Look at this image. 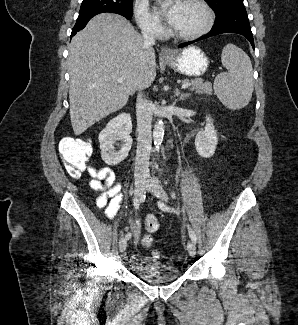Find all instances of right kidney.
Instances as JSON below:
<instances>
[{
    "label": "right kidney",
    "instance_id": "right-kidney-1",
    "mask_svg": "<svg viewBox=\"0 0 298 325\" xmlns=\"http://www.w3.org/2000/svg\"><path fill=\"white\" fill-rule=\"evenodd\" d=\"M130 132H132V120L128 112H120L111 118L105 128L99 132L101 158L106 165H118L128 156L133 142ZM117 140H121L119 150L114 148Z\"/></svg>",
    "mask_w": 298,
    "mask_h": 325
}]
</instances>
